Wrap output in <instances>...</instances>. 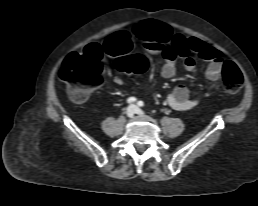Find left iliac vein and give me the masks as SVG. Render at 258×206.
I'll return each instance as SVG.
<instances>
[{
  "label": "left iliac vein",
  "instance_id": "4c4485c4",
  "mask_svg": "<svg viewBox=\"0 0 258 206\" xmlns=\"http://www.w3.org/2000/svg\"><path fill=\"white\" fill-rule=\"evenodd\" d=\"M134 107H135V113L136 114H138L140 116H144L145 115L144 112L140 108H138L136 106H134Z\"/></svg>",
  "mask_w": 258,
  "mask_h": 206
}]
</instances>
